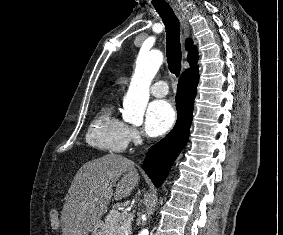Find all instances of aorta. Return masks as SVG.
I'll list each match as a JSON object with an SVG mask.
<instances>
[{
    "mask_svg": "<svg viewBox=\"0 0 283 235\" xmlns=\"http://www.w3.org/2000/svg\"><path fill=\"white\" fill-rule=\"evenodd\" d=\"M162 63L163 54L159 50L139 53L135 73L123 101L122 117L125 121L142 123L149 100V88ZM138 235H149L148 228H143Z\"/></svg>",
    "mask_w": 283,
    "mask_h": 235,
    "instance_id": "obj_1",
    "label": "aorta"
}]
</instances>
